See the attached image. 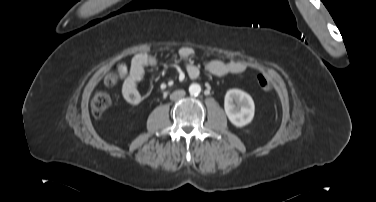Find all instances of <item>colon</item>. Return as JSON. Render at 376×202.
Masks as SVG:
<instances>
[{
  "label": "colon",
  "instance_id": "colon-1",
  "mask_svg": "<svg viewBox=\"0 0 376 202\" xmlns=\"http://www.w3.org/2000/svg\"><path fill=\"white\" fill-rule=\"evenodd\" d=\"M117 76L114 73H109L104 78V85L106 87H113L117 84ZM257 85L260 89L268 91L271 88V81L266 75L260 74L256 79ZM111 105L110 96L103 91H97L91 99V110L94 116H101Z\"/></svg>",
  "mask_w": 376,
  "mask_h": 202
}]
</instances>
